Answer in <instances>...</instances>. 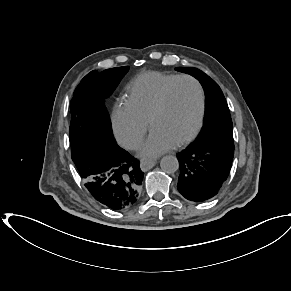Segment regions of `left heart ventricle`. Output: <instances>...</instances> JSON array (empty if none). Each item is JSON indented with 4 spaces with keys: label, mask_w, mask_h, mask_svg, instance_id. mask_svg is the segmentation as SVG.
Listing matches in <instances>:
<instances>
[{
    "label": "left heart ventricle",
    "mask_w": 291,
    "mask_h": 291,
    "mask_svg": "<svg viewBox=\"0 0 291 291\" xmlns=\"http://www.w3.org/2000/svg\"><path fill=\"white\" fill-rule=\"evenodd\" d=\"M200 110V97L196 85L189 80L178 82L170 91L167 105L154 120L156 130L175 144L195 128Z\"/></svg>",
    "instance_id": "obj_1"
}]
</instances>
